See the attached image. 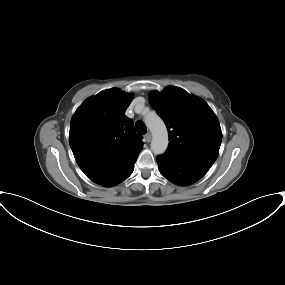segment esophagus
Returning <instances> with one entry per match:
<instances>
[{"instance_id": "1", "label": "esophagus", "mask_w": 285, "mask_h": 285, "mask_svg": "<svg viewBox=\"0 0 285 285\" xmlns=\"http://www.w3.org/2000/svg\"><path fill=\"white\" fill-rule=\"evenodd\" d=\"M151 138H152L151 133H150V132H147V133L145 134V140H146V142H150V141H151Z\"/></svg>"}]
</instances>
